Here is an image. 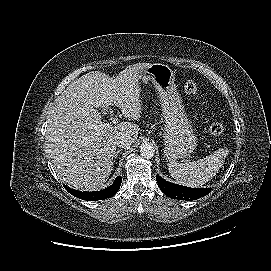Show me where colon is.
I'll return each mask as SVG.
<instances>
[{
	"instance_id": "obj_1",
	"label": "colon",
	"mask_w": 271,
	"mask_h": 271,
	"mask_svg": "<svg viewBox=\"0 0 271 271\" xmlns=\"http://www.w3.org/2000/svg\"><path fill=\"white\" fill-rule=\"evenodd\" d=\"M184 90L193 97L198 95V86L193 80L184 82ZM209 132L214 136H219L224 132V125L221 122L214 121L209 126Z\"/></svg>"
}]
</instances>
